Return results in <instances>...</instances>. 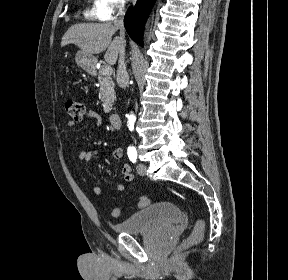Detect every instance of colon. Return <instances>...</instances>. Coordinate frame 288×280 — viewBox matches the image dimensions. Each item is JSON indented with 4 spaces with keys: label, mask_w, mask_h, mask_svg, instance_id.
<instances>
[{
    "label": "colon",
    "mask_w": 288,
    "mask_h": 280,
    "mask_svg": "<svg viewBox=\"0 0 288 280\" xmlns=\"http://www.w3.org/2000/svg\"><path fill=\"white\" fill-rule=\"evenodd\" d=\"M66 111L69 114V116L75 120L80 121L82 120L84 114H85V108L82 103L77 101L69 100L65 104ZM150 203V200L147 196H142L139 199L138 206L139 207H145ZM112 217L118 218L121 215V210L119 208H114L111 212ZM204 232V223L202 220H198L193 228L192 232V240L197 241L199 240Z\"/></svg>",
    "instance_id": "5ec220e1"
}]
</instances>
